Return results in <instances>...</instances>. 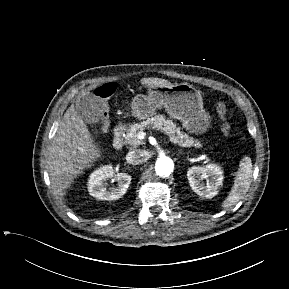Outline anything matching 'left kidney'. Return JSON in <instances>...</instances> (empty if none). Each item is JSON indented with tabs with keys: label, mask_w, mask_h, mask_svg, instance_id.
Returning a JSON list of instances; mask_svg holds the SVG:
<instances>
[{
	"label": "left kidney",
	"mask_w": 289,
	"mask_h": 289,
	"mask_svg": "<svg viewBox=\"0 0 289 289\" xmlns=\"http://www.w3.org/2000/svg\"><path fill=\"white\" fill-rule=\"evenodd\" d=\"M187 178L196 194L211 199L218 194V189L222 186L223 171L219 165L213 163L203 167L193 166L188 169Z\"/></svg>",
	"instance_id": "1"
}]
</instances>
